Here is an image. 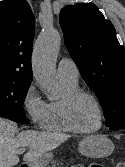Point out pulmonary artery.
I'll list each match as a JSON object with an SVG mask.
<instances>
[{
  "instance_id": "e3ab8cb5",
  "label": "pulmonary artery",
  "mask_w": 125,
  "mask_h": 167,
  "mask_svg": "<svg viewBox=\"0 0 125 167\" xmlns=\"http://www.w3.org/2000/svg\"><path fill=\"white\" fill-rule=\"evenodd\" d=\"M57 75L61 80L78 82L79 70L75 62L70 58H62L57 67Z\"/></svg>"
}]
</instances>
